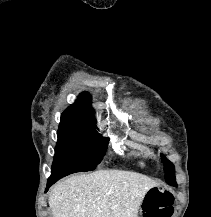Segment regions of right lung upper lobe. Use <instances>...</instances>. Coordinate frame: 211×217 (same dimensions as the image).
I'll return each instance as SVG.
<instances>
[{"instance_id":"cb5924a9","label":"right lung upper lobe","mask_w":211,"mask_h":217,"mask_svg":"<svg viewBox=\"0 0 211 217\" xmlns=\"http://www.w3.org/2000/svg\"><path fill=\"white\" fill-rule=\"evenodd\" d=\"M60 125L96 128L91 95L88 92L81 93L76 103L62 113Z\"/></svg>"}]
</instances>
